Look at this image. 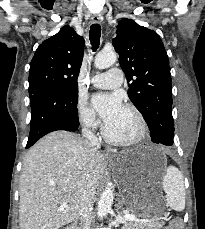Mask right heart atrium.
Here are the masks:
<instances>
[{"mask_svg": "<svg viewBox=\"0 0 205 229\" xmlns=\"http://www.w3.org/2000/svg\"><path fill=\"white\" fill-rule=\"evenodd\" d=\"M77 116L80 124L87 129H94L99 123L95 112L83 99L77 102Z\"/></svg>", "mask_w": 205, "mask_h": 229, "instance_id": "1", "label": "right heart atrium"}]
</instances>
